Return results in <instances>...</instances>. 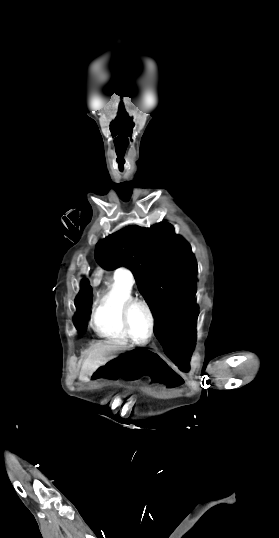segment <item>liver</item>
<instances>
[{"label": "liver", "instance_id": "obj_1", "mask_svg": "<svg viewBox=\"0 0 279 538\" xmlns=\"http://www.w3.org/2000/svg\"><path fill=\"white\" fill-rule=\"evenodd\" d=\"M124 348L125 346H121V344H117V342H106V344H96V346H93L87 360H85L81 368L82 378L89 376V374H93V372L98 370L100 366H104L108 360H113V358H115L113 354H116L118 350H124Z\"/></svg>", "mask_w": 279, "mask_h": 538}]
</instances>
